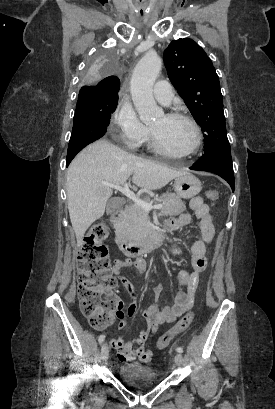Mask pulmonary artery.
Instances as JSON below:
<instances>
[{"instance_id": "pulmonary-artery-1", "label": "pulmonary artery", "mask_w": 275, "mask_h": 409, "mask_svg": "<svg viewBox=\"0 0 275 409\" xmlns=\"http://www.w3.org/2000/svg\"><path fill=\"white\" fill-rule=\"evenodd\" d=\"M157 85L154 90L156 99L163 105H169L175 91L174 86L170 85L168 79H159Z\"/></svg>"}]
</instances>
